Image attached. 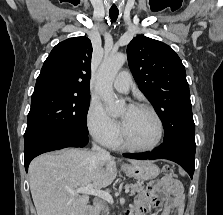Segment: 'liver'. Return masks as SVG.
Returning a JSON list of instances; mask_svg holds the SVG:
<instances>
[{
    "label": "liver",
    "mask_w": 223,
    "mask_h": 215,
    "mask_svg": "<svg viewBox=\"0 0 223 215\" xmlns=\"http://www.w3.org/2000/svg\"><path fill=\"white\" fill-rule=\"evenodd\" d=\"M114 159L77 147L35 157L29 165V183L38 215H84L89 195H73L71 189L91 181L93 187L110 185L117 175Z\"/></svg>",
    "instance_id": "6515ba94"
}]
</instances>
